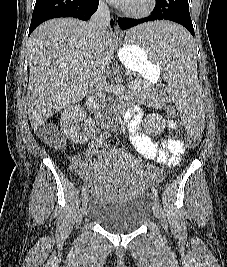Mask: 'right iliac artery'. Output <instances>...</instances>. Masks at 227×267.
<instances>
[{
	"mask_svg": "<svg viewBox=\"0 0 227 267\" xmlns=\"http://www.w3.org/2000/svg\"><path fill=\"white\" fill-rule=\"evenodd\" d=\"M81 195H82V196L86 195V186H84V187L82 188V193H81Z\"/></svg>",
	"mask_w": 227,
	"mask_h": 267,
	"instance_id": "right-iliac-artery-1",
	"label": "right iliac artery"
}]
</instances>
